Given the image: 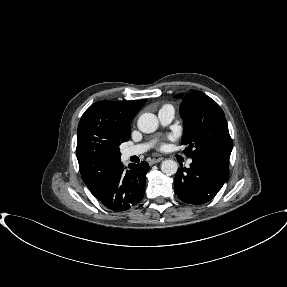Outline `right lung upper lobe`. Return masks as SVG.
<instances>
[{
	"label": "right lung upper lobe",
	"instance_id": "cb5924a9",
	"mask_svg": "<svg viewBox=\"0 0 287 287\" xmlns=\"http://www.w3.org/2000/svg\"><path fill=\"white\" fill-rule=\"evenodd\" d=\"M145 102L98 101L82 115L76 153L81 177L90 191L106 170L121 163L119 146L130 139V123Z\"/></svg>",
	"mask_w": 287,
	"mask_h": 287
}]
</instances>
